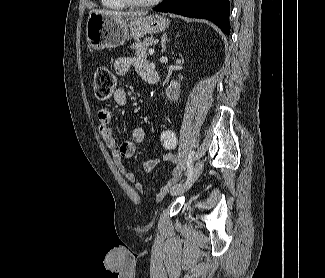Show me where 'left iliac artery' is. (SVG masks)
<instances>
[{"mask_svg": "<svg viewBox=\"0 0 325 278\" xmlns=\"http://www.w3.org/2000/svg\"><path fill=\"white\" fill-rule=\"evenodd\" d=\"M194 155V152L189 157L188 165H187V181L188 182L192 176L193 173V165H192V157Z\"/></svg>", "mask_w": 325, "mask_h": 278, "instance_id": "1", "label": "left iliac artery"}]
</instances>
